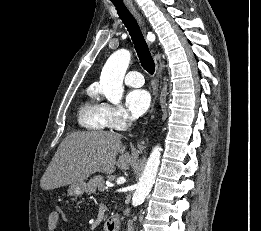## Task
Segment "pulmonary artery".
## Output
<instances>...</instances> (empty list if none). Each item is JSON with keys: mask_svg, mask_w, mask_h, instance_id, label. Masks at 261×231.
<instances>
[{"mask_svg": "<svg viewBox=\"0 0 261 231\" xmlns=\"http://www.w3.org/2000/svg\"><path fill=\"white\" fill-rule=\"evenodd\" d=\"M125 83L132 87H141L144 83L143 76L138 71H129L125 77Z\"/></svg>", "mask_w": 261, "mask_h": 231, "instance_id": "pulmonary-artery-1", "label": "pulmonary artery"}]
</instances>
